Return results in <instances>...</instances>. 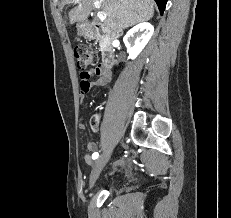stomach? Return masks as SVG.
<instances>
[{
	"label": "stomach",
	"instance_id": "stomach-1",
	"mask_svg": "<svg viewBox=\"0 0 231 218\" xmlns=\"http://www.w3.org/2000/svg\"><path fill=\"white\" fill-rule=\"evenodd\" d=\"M77 29H78V31H79V33L81 34V35H85L86 34V25L84 24V23H79L78 25H77Z\"/></svg>",
	"mask_w": 231,
	"mask_h": 218
}]
</instances>
